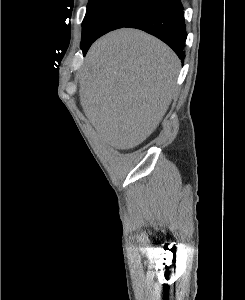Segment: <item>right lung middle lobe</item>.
<instances>
[{"mask_svg": "<svg viewBox=\"0 0 245 300\" xmlns=\"http://www.w3.org/2000/svg\"><path fill=\"white\" fill-rule=\"evenodd\" d=\"M161 2L155 0H89L82 23L81 47L122 28Z\"/></svg>", "mask_w": 245, "mask_h": 300, "instance_id": "right-lung-middle-lobe-1", "label": "right lung middle lobe"}]
</instances>
